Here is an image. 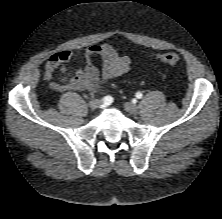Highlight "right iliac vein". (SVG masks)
<instances>
[{
  "label": "right iliac vein",
  "instance_id": "63e3f726",
  "mask_svg": "<svg viewBox=\"0 0 222 219\" xmlns=\"http://www.w3.org/2000/svg\"><path fill=\"white\" fill-rule=\"evenodd\" d=\"M100 104H101L100 100H92V101L89 102V107L92 110H95Z\"/></svg>",
  "mask_w": 222,
  "mask_h": 219
}]
</instances>
